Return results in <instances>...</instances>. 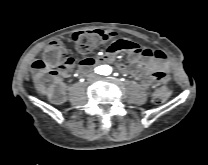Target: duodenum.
<instances>
[{
    "mask_svg": "<svg viewBox=\"0 0 208 165\" xmlns=\"http://www.w3.org/2000/svg\"><path fill=\"white\" fill-rule=\"evenodd\" d=\"M86 68H88V67H82L81 70H84V69H86Z\"/></svg>",
    "mask_w": 208,
    "mask_h": 165,
    "instance_id": "410a0bca",
    "label": "duodenum"
}]
</instances>
